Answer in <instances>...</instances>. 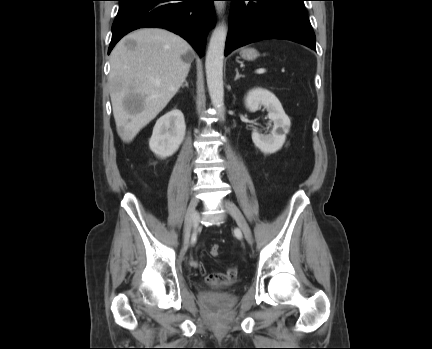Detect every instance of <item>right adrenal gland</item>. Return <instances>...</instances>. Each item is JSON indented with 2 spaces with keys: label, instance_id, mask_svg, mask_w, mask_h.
Returning <instances> with one entry per match:
<instances>
[{
  "label": "right adrenal gland",
  "instance_id": "right-adrenal-gland-1",
  "mask_svg": "<svg viewBox=\"0 0 432 349\" xmlns=\"http://www.w3.org/2000/svg\"><path fill=\"white\" fill-rule=\"evenodd\" d=\"M183 87H189L187 80L184 81V84L182 85V88Z\"/></svg>",
  "mask_w": 432,
  "mask_h": 349
}]
</instances>
